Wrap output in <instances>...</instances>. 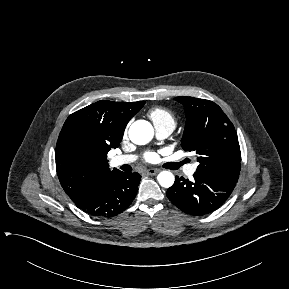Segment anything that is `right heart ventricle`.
I'll return each instance as SVG.
<instances>
[{
	"label": "right heart ventricle",
	"instance_id": "1",
	"mask_svg": "<svg viewBox=\"0 0 289 289\" xmlns=\"http://www.w3.org/2000/svg\"><path fill=\"white\" fill-rule=\"evenodd\" d=\"M148 116L155 127L170 126L175 128L176 126L175 116L169 109L163 107H155L148 112Z\"/></svg>",
	"mask_w": 289,
	"mask_h": 289
}]
</instances>
